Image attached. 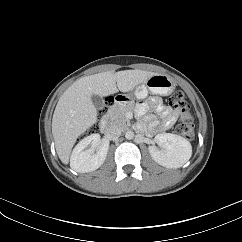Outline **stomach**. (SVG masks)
Returning <instances> with one entry per match:
<instances>
[{
  "label": "stomach",
  "instance_id": "stomach-1",
  "mask_svg": "<svg viewBox=\"0 0 242 242\" xmlns=\"http://www.w3.org/2000/svg\"><path fill=\"white\" fill-rule=\"evenodd\" d=\"M176 87V82L168 75L165 74H155L150 77L146 82L137 85L134 88L133 95L137 99H144L148 92L156 95L167 96L170 95ZM131 95L127 96L130 99ZM122 104L127 103V101H122Z\"/></svg>",
  "mask_w": 242,
  "mask_h": 242
}]
</instances>
